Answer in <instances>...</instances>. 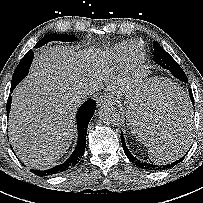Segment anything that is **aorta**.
Instances as JSON below:
<instances>
[{
  "label": "aorta",
  "instance_id": "obj_1",
  "mask_svg": "<svg viewBox=\"0 0 203 203\" xmlns=\"http://www.w3.org/2000/svg\"><path fill=\"white\" fill-rule=\"evenodd\" d=\"M99 118L107 125H115L120 121L118 110L111 104L102 106L98 111Z\"/></svg>",
  "mask_w": 203,
  "mask_h": 203
}]
</instances>
